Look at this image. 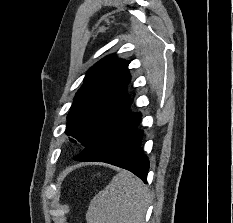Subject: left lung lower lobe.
<instances>
[{
    "instance_id": "obj_1",
    "label": "left lung lower lobe",
    "mask_w": 233,
    "mask_h": 223,
    "mask_svg": "<svg viewBox=\"0 0 233 223\" xmlns=\"http://www.w3.org/2000/svg\"><path fill=\"white\" fill-rule=\"evenodd\" d=\"M131 103L132 99L73 159L110 163L131 171L146 183L149 161L140 148L143 131L136 129L141 114L129 111Z\"/></svg>"
}]
</instances>
